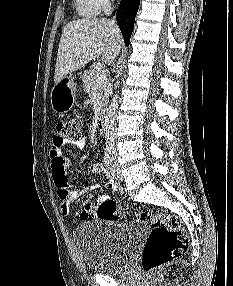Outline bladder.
<instances>
[{
  "mask_svg": "<svg viewBox=\"0 0 233 286\" xmlns=\"http://www.w3.org/2000/svg\"><path fill=\"white\" fill-rule=\"evenodd\" d=\"M144 232L139 220H103L77 227L74 240L87 269L102 274L125 268Z\"/></svg>",
  "mask_w": 233,
  "mask_h": 286,
  "instance_id": "obj_1",
  "label": "bladder"
}]
</instances>
